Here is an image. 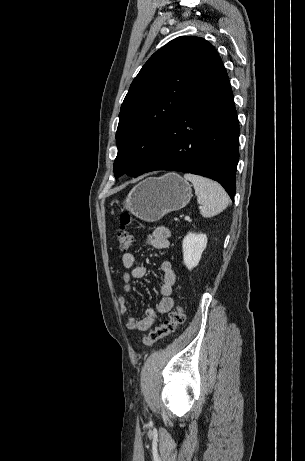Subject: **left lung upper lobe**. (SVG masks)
Segmentation results:
<instances>
[{"label":"left lung upper lobe","mask_w":305,"mask_h":461,"mask_svg":"<svg viewBox=\"0 0 305 461\" xmlns=\"http://www.w3.org/2000/svg\"><path fill=\"white\" fill-rule=\"evenodd\" d=\"M218 58L208 41L195 36L178 37L149 58L121 105L116 178L124 172L138 176L149 171L169 123ZM142 146L147 149H142L144 155H136Z\"/></svg>","instance_id":"1"}]
</instances>
